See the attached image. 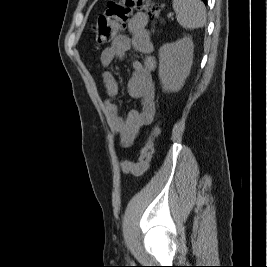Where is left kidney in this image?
Wrapping results in <instances>:
<instances>
[{"label":"left kidney","mask_w":267,"mask_h":267,"mask_svg":"<svg viewBox=\"0 0 267 267\" xmlns=\"http://www.w3.org/2000/svg\"><path fill=\"white\" fill-rule=\"evenodd\" d=\"M193 49L189 36L160 47L158 75L164 92H178L183 87L193 63Z\"/></svg>","instance_id":"left-kidney-1"}]
</instances>
